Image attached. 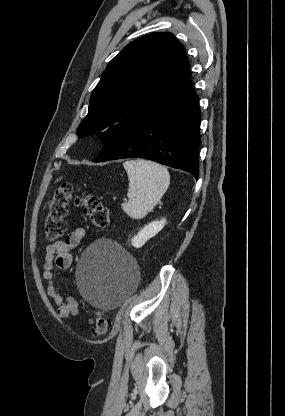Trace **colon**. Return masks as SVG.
<instances>
[{"label":"colon","instance_id":"colon-1","mask_svg":"<svg viewBox=\"0 0 285 416\" xmlns=\"http://www.w3.org/2000/svg\"><path fill=\"white\" fill-rule=\"evenodd\" d=\"M73 186L64 183L56 188L48 203V214L45 219V236L49 241H56L66 231V214L73 195ZM90 222L98 228H105L110 223L108 208L101 200L93 195L85 194L76 199ZM111 326V317L106 312H98L92 320V334L94 337L104 336Z\"/></svg>","mask_w":285,"mask_h":416}]
</instances>
